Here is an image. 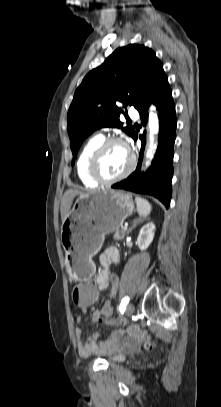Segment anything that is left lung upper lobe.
I'll use <instances>...</instances> for the list:
<instances>
[{
	"label": "left lung upper lobe",
	"mask_w": 221,
	"mask_h": 407,
	"mask_svg": "<svg viewBox=\"0 0 221 407\" xmlns=\"http://www.w3.org/2000/svg\"><path fill=\"white\" fill-rule=\"evenodd\" d=\"M164 77L154 51L138 44L116 49L101 66L89 72L76 89L67 115L73 157L83 140L98 128L117 127L133 137L134 128L123 127L119 120L123 113L120 104L141 109Z\"/></svg>",
	"instance_id": "obj_1"
}]
</instances>
